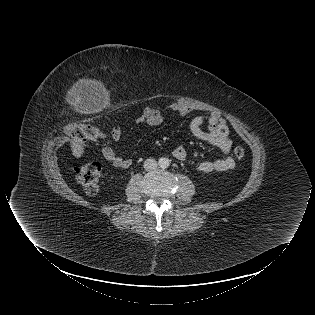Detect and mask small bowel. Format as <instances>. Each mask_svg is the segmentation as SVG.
Here are the masks:
<instances>
[{
  "label": "small bowel",
  "mask_w": 315,
  "mask_h": 315,
  "mask_svg": "<svg viewBox=\"0 0 315 315\" xmlns=\"http://www.w3.org/2000/svg\"><path fill=\"white\" fill-rule=\"evenodd\" d=\"M191 111L192 109L189 106L181 102L170 104L164 111L146 107L135 120V126L131 127L130 130H135L141 125H161L165 119L164 112H171L184 116L188 115ZM205 124H207V130L203 129ZM189 128L194 137L217 147L223 155L220 159L202 161L198 165L200 172H223L235 167V161L230 155L232 141L230 139L229 126L226 119L220 113L212 112L207 116H195L191 119ZM126 133L127 131L118 125L111 129V137L116 142H121ZM101 152L103 157L117 168H128L132 164L131 159L120 156L109 145L104 146ZM172 154L178 160H184L187 157L186 149L183 146H177Z\"/></svg>",
  "instance_id": "c3829d8e"
}]
</instances>
